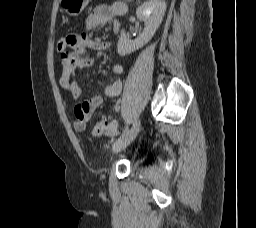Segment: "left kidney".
I'll return each mask as SVG.
<instances>
[{
  "instance_id": "left-kidney-1",
  "label": "left kidney",
  "mask_w": 256,
  "mask_h": 228,
  "mask_svg": "<svg viewBox=\"0 0 256 228\" xmlns=\"http://www.w3.org/2000/svg\"><path fill=\"white\" fill-rule=\"evenodd\" d=\"M166 7L167 5L163 0H149L137 8L136 16L144 22L145 28L135 40L129 39L124 30L121 31L117 44L120 56H125L138 50L152 39L163 20Z\"/></svg>"
}]
</instances>
